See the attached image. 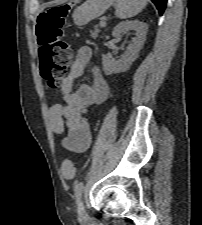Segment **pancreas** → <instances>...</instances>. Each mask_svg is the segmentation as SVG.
<instances>
[{
  "mask_svg": "<svg viewBox=\"0 0 202 225\" xmlns=\"http://www.w3.org/2000/svg\"><path fill=\"white\" fill-rule=\"evenodd\" d=\"M100 30L97 26L94 27V30L91 31V37L96 38L99 34Z\"/></svg>",
  "mask_w": 202,
  "mask_h": 225,
  "instance_id": "cf45deb5",
  "label": "pancreas"
}]
</instances>
